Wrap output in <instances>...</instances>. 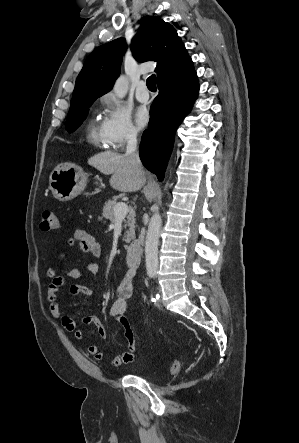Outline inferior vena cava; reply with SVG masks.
Returning <instances> with one entry per match:
<instances>
[{"mask_svg": "<svg viewBox=\"0 0 299 443\" xmlns=\"http://www.w3.org/2000/svg\"><path fill=\"white\" fill-rule=\"evenodd\" d=\"M126 156L138 167L141 168V162L137 151V133L130 129L126 133Z\"/></svg>", "mask_w": 299, "mask_h": 443, "instance_id": "1", "label": "inferior vena cava"}]
</instances>
